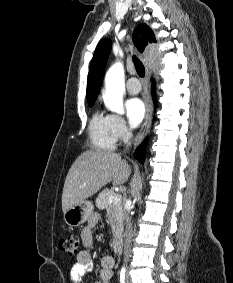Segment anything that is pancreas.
<instances>
[{
  "instance_id": "obj_1",
  "label": "pancreas",
  "mask_w": 233,
  "mask_h": 283,
  "mask_svg": "<svg viewBox=\"0 0 233 283\" xmlns=\"http://www.w3.org/2000/svg\"><path fill=\"white\" fill-rule=\"evenodd\" d=\"M112 195H116L113 190L107 188L102 190L96 199V206L99 209L107 210L114 227V235L118 236L123 229L124 210L121 200L113 203L109 202V197Z\"/></svg>"
}]
</instances>
